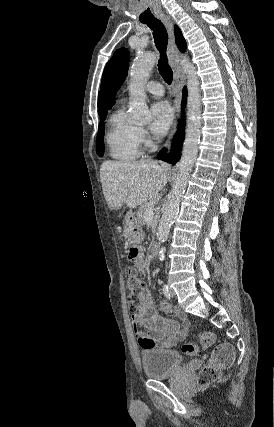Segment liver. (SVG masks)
<instances>
[{"mask_svg":"<svg viewBox=\"0 0 274 427\" xmlns=\"http://www.w3.org/2000/svg\"><path fill=\"white\" fill-rule=\"evenodd\" d=\"M168 166L158 162H103L100 178L104 198L110 210H121L126 204L132 210L154 202L158 192H163L169 178Z\"/></svg>","mask_w":274,"mask_h":427,"instance_id":"liver-1","label":"liver"}]
</instances>
